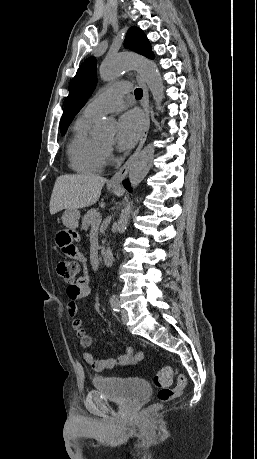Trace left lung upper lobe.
Listing matches in <instances>:
<instances>
[{
  "label": "left lung upper lobe",
  "mask_w": 257,
  "mask_h": 459,
  "mask_svg": "<svg viewBox=\"0 0 257 459\" xmlns=\"http://www.w3.org/2000/svg\"><path fill=\"white\" fill-rule=\"evenodd\" d=\"M124 45L126 48L141 55L151 59L154 58L146 35L138 27L134 26L128 30ZM96 83V59L91 57L81 64L72 81L60 123L62 134H65L75 115L85 105L87 99L94 91Z\"/></svg>",
  "instance_id": "obj_1"
}]
</instances>
